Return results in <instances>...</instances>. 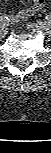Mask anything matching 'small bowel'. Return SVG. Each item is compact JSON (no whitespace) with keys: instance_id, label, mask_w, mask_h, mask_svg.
<instances>
[{"instance_id":"small-bowel-1","label":"small bowel","mask_w":51,"mask_h":153,"mask_svg":"<svg viewBox=\"0 0 51 153\" xmlns=\"http://www.w3.org/2000/svg\"><path fill=\"white\" fill-rule=\"evenodd\" d=\"M45 6V0H43L40 4H36V1L33 0L31 6L28 8L22 9L16 13H12L8 16L9 21L18 22L27 17H30L40 11Z\"/></svg>"}]
</instances>
